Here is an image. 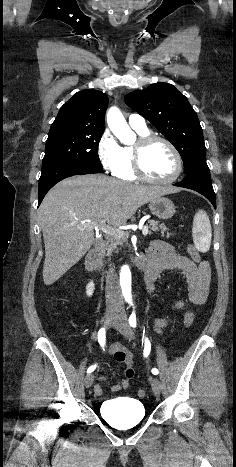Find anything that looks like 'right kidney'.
Wrapping results in <instances>:
<instances>
[{
	"instance_id": "1",
	"label": "right kidney",
	"mask_w": 236,
	"mask_h": 467,
	"mask_svg": "<svg viewBox=\"0 0 236 467\" xmlns=\"http://www.w3.org/2000/svg\"><path fill=\"white\" fill-rule=\"evenodd\" d=\"M94 290H95V285L94 283L91 281L90 283H88L87 287H86V294L87 296L91 297L94 293Z\"/></svg>"
}]
</instances>
